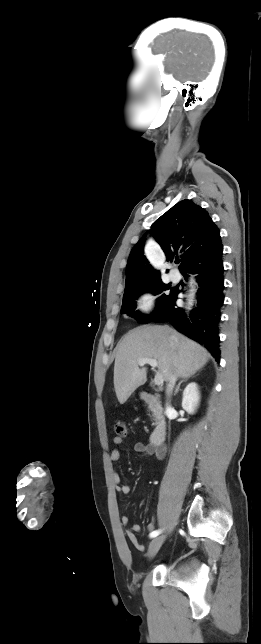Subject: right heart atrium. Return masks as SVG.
Masks as SVG:
<instances>
[{
  "instance_id": "1",
  "label": "right heart atrium",
  "mask_w": 261,
  "mask_h": 644,
  "mask_svg": "<svg viewBox=\"0 0 261 644\" xmlns=\"http://www.w3.org/2000/svg\"><path fill=\"white\" fill-rule=\"evenodd\" d=\"M153 304L154 296L149 292L142 294L138 300L139 308L144 312L150 311L153 307Z\"/></svg>"
}]
</instances>
